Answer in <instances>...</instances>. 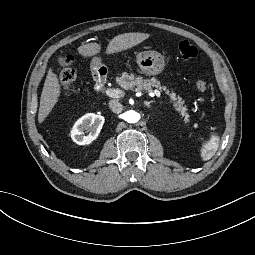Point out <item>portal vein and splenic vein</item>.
I'll use <instances>...</instances> for the list:
<instances>
[{"label":"portal vein and splenic vein","instance_id":"obj_1","mask_svg":"<svg viewBox=\"0 0 255 255\" xmlns=\"http://www.w3.org/2000/svg\"><path fill=\"white\" fill-rule=\"evenodd\" d=\"M104 93L108 97H113V98H118L120 95H123V92L121 90H118V89H109V88L104 90ZM150 95L152 97L156 96V97L160 98L161 97V92L159 90H155V92L151 93Z\"/></svg>","mask_w":255,"mask_h":255}]
</instances>
